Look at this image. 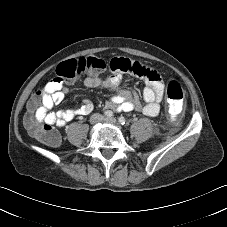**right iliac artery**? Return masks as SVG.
I'll use <instances>...</instances> for the list:
<instances>
[{
	"instance_id": "82829eb1",
	"label": "right iliac artery",
	"mask_w": 227,
	"mask_h": 227,
	"mask_svg": "<svg viewBox=\"0 0 227 227\" xmlns=\"http://www.w3.org/2000/svg\"><path fill=\"white\" fill-rule=\"evenodd\" d=\"M104 116L107 117V118H111V117H113L114 115H113V112H112V111H109V110H108V111H105V112H104Z\"/></svg>"
}]
</instances>
